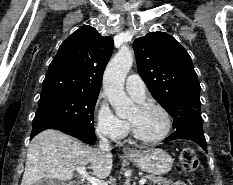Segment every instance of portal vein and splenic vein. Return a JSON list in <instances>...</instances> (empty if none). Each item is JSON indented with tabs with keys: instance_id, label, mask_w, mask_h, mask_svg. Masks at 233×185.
Masks as SVG:
<instances>
[{
	"instance_id": "18ae733b",
	"label": "portal vein and splenic vein",
	"mask_w": 233,
	"mask_h": 185,
	"mask_svg": "<svg viewBox=\"0 0 233 185\" xmlns=\"http://www.w3.org/2000/svg\"><path fill=\"white\" fill-rule=\"evenodd\" d=\"M76 171L82 176L83 179H86L91 185H108L103 180L91 177L84 166H79L76 168ZM147 182L145 178L140 179L139 184L144 185Z\"/></svg>"
}]
</instances>
